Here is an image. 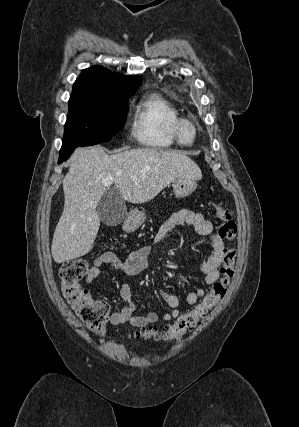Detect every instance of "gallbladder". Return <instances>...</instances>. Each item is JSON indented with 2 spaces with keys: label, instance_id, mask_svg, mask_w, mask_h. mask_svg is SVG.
Segmentation results:
<instances>
[{
  "label": "gallbladder",
  "instance_id": "gallbladder-1",
  "mask_svg": "<svg viewBox=\"0 0 299 427\" xmlns=\"http://www.w3.org/2000/svg\"><path fill=\"white\" fill-rule=\"evenodd\" d=\"M97 213L101 222L107 226L121 224L127 214L125 203L116 189H109L97 205Z\"/></svg>",
  "mask_w": 299,
  "mask_h": 427
}]
</instances>
